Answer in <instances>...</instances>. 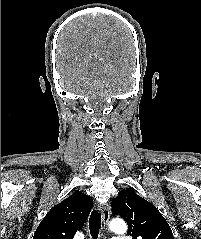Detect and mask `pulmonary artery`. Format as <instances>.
<instances>
[{
  "label": "pulmonary artery",
  "mask_w": 201,
  "mask_h": 239,
  "mask_svg": "<svg viewBox=\"0 0 201 239\" xmlns=\"http://www.w3.org/2000/svg\"><path fill=\"white\" fill-rule=\"evenodd\" d=\"M112 239H130L129 236H116V237H113Z\"/></svg>",
  "instance_id": "obj_1"
}]
</instances>
